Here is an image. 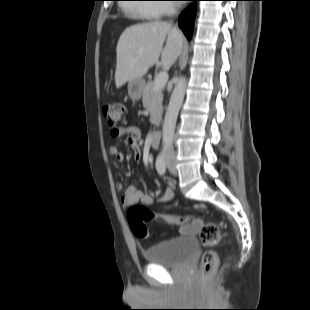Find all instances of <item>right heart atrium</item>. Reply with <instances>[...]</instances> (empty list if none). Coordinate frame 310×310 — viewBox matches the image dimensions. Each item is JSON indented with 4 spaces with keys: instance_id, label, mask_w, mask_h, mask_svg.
<instances>
[{
    "instance_id": "d8ad5b80",
    "label": "right heart atrium",
    "mask_w": 310,
    "mask_h": 310,
    "mask_svg": "<svg viewBox=\"0 0 310 310\" xmlns=\"http://www.w3.org/2000/svg\"><path fill=\"white\" fill-rule=\"evenodd\" d=\"M158 2H161V3L157 4L156 7L160 10L161 14H167V13H170L174 10V5L172 3L173 1L161 0Z\"/></svg>"
}]
</instances>
